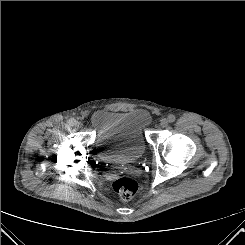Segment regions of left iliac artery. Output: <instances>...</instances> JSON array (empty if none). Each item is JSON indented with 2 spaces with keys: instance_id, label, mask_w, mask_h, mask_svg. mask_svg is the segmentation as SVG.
<instances>
[{
  "instance_id": "obj_1",
  "label": "left iliac artery",
  "mask_w": 245,
  "mask_h": 245,
  "mask_svg": "<svg viewBox=\"0 0 245 245\" xmlns=\"http://www.w3.org/2000/svg\"><path fill=\"white\" fill-rule=\"evenodd\" d=\"M175 120H176V117L174 115L171 114V115L168 116V121L170 123H173Z\"/></svg>"
}]
</instances>
